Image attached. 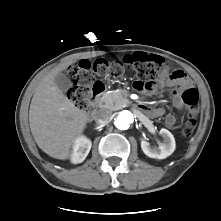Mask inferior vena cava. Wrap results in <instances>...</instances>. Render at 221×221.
I'll return each mask as SVG.
<instances>
[{"instance_id": "602c4592", "label": "inferior vena cava", "mask_w": 221, "mask_h": 221, "mask_svg": "<svg viewBox=\"0 0 221 221\" xmlns=\"http://www.w3.org/2000/svg\"><path fill=\"white\" fill-rule=\"evenodd\" d=\"M112 116V112L108 109H100L95 112L94 120L99 124L107 123Z\"/></svg>"}]
</instances>
